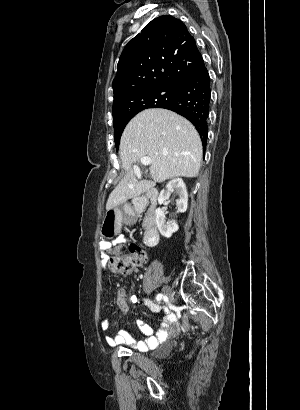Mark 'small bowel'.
Listing matches in <instances>:
<instances>
[{"label":"small bowel","instance_id":"1","mask_svg":"<svg viewBox=\"0 0 300 410\" xmlns=\"http://www.w3.org/2000/svg\"><path fill=\"white\" fill-rule=\"evenodd\" d=\"M132 302H138L137 297H131ZM146 305L154 312L162 313L164 320L159 326L157 334L150 325L144 321L139 322V329L145 336L143 340L137 341L127 330H119L116 334L106 336V342L109 346L115 347L120 345H127L129 347L146 351L155 348L159 343L171 338L179 333L180 327L176 322L175 315L166 306L155 305L147 302ZM128 311V304L126 301V293L123 288L117 292L115 316L120 317ZM111 320L104 318L100 321V328L104 331L110 328Z\"/></svg>","mask_w":300,"mask_h":410}]
</instances>
